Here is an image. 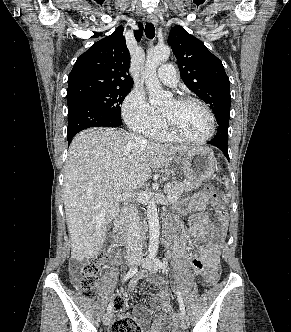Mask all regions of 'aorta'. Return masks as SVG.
<instances>
[{"instance_id": "obj_1", "label": "aorta", "mask_w": 291, "mask_h": 332, "mask_svg": "<svg viewBox=\"0 0 291 332\" xmlns=\"http://www.w3.org/2000/svg\"><path fill=\"white\" fill-rule=\"evenodd\" d=\"M169 56L170 48L166 45L156 46L147 53L145 68L141 71V77L145 82L151 105H160L172 98L170 92L162 89L156 74L158 66L168 60ZM147 220L149 226V253L154 255L158 250L160 233L157 205L154 198L149 201L147 206Z\"/></svg>"}]
</instances>
